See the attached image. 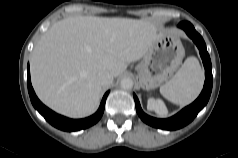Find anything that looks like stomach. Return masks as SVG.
<instances>
[{"mask_svg": "<svg viewBox=\"0 0 238 158\" xmlns=\"http://www.w3.org/2000/svg\"><path fill=\"white\" fill-rule=\"evenodd\" d=\"M184 55L185 50L178 35L163 31L136 66L140 86L150 90L162 85L177 70Z\"/></svg>", "mask_w": 238, "mask_h": 158, "instance_id": "1", "label": "stomach"}]
</instances>
